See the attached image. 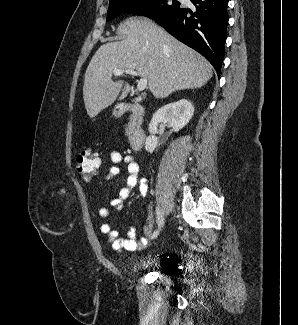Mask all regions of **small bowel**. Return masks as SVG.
<instances>
[{
	"label": "small bowel",
	"mask_w": 298,
	"mask_h": 325,
	"mask_svg": "<svg viewBox=\"0 0 298 325\" xmlns=\"http://www.w3.org/2000/svg\"><path fill=\"white\" fill-rule=\"evenodd\" d=\"M110 160L112 166L105 174V180L111 181L113 178L120 174L119 165L124 164L128 176L126 178V186L123 187L117 194V196L111 201V206L117 210L122 211L124 207V201L127 199L133 188H138L141 196L145 198L148 193L147 180L139 176V165L134 158L129 154H123L117 150H113L110 153ZM98 215L101 218H107L109 216V209L101 207L98 210ZM152 225L148 223L145 227V233L148 235L151 232ZM100 231L107 237V241L110 243L111 249L115 252L134 251L136 248L145 246L147 239L142 237L137 238V232L134 227H129L127 231V237L122 238L119 236V232L114 229L110 224L104 223L100 227Z\"/></svg>",
	"instance_id": "small-bowel-1"
}]
</instances>
